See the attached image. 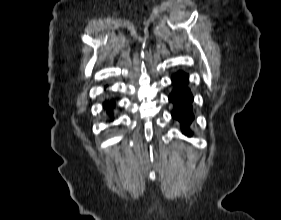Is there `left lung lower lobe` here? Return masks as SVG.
<instances>
[{
    "label": "left lung lower lobe",
    "instance_id": "1",
    "mask_svg": "<svg viewBox=\"0 0 281 220\" xmlns=\"http://www.w3.org/2000/svg\"><path fill=\"white\" fill-rule=\"evenodd\" d=\"M172 81L174 89L169 95V101L174 104L172 116L181 123L182 132L192 136L189 125L194 119L192 112L193 96L188 87V75L179 72L172 78Z\"/></svg>",
    "mask_w": 281,
    "mask_h": 220
}]
</instances>
